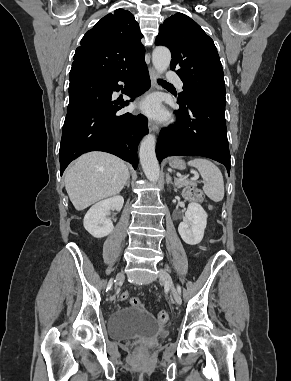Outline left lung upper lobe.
Listing matches in <instances>:
<instances>
[{
  "label": "left lung upper lobe",
  "instance_id": "1",
  "mask_svg": "<svg viewBox=\"0 0 291 381\" xmlns=\"http://www.w3.org/2000/svg\"><path fill=\"white\" fill-rule=\"evenodd\" d=\"M157 45L171 51V69L182 80L183 100L189 95L225 99L224 73L213 40L190 17L176 13L159 27Z\"/></svg>",
  "mask_w": 291,
  "mask_h": 381
}]
</instances>
